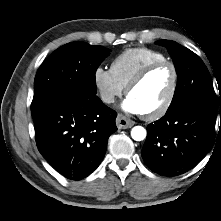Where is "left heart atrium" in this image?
I'll return each instance as SVG.
<instances>
[{
    "label": "left heart atrium",
    "instance_id": "1",
    "mask_svg": "<svg viewBox=\"0 0 221 221\" xmlns=\"http://www.w3.org/2000/svg\"><path fill=\"white\" fill-rule=\"evenodd\" d=\"M122 107L131 113L134 114H141L143 113L141 110V107L139 106V104L137 103V101L135 99H133L132 97L128 96L122 104Z\"/></svg>",
    "mask_w": 221,
    "mask_h": 221
}]
</instances>
